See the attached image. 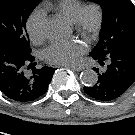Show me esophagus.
Segmentation results:
<instances>
[{
  "label": "esophagus",
  "instance_id": "34e87169",
  "mask_svg": "<svg viewBox=\"0 0 135 135\" xmlns=\"http://www.w3.org/2000/svg\"><path fill=\"white\" fill-rule=\"evenodd\" d=\"M64 67H68L74 71L80 72L82 71L84 68L83 67H74V66H68V65H63Z\"/></svg>",
  "mask_w": 135,
  "mask_h": 135
}]
</instances>
